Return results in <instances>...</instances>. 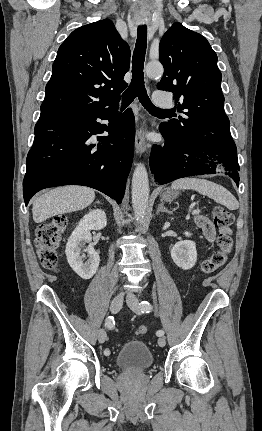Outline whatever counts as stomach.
<instances>
[{
    "instance_id": "stomach-1",
    "label": "stomach",
    "mask_w": 262,
    "mask_h": 431,
    "mask_svg": "<svg viewBox=\"0 0 262 431\" xmlns=\"http://www.w3.org/2000/svg\"><path fill=\"white\" fill-rule=\"evenodd\" d=\"M179 195V192L174 189H165V191L162 194V198L165 201H172L175 198H177Z\"/></svg>"
}]
</instances>
